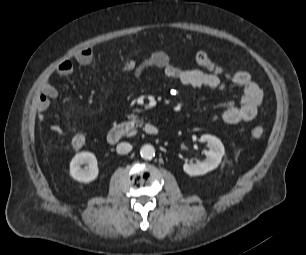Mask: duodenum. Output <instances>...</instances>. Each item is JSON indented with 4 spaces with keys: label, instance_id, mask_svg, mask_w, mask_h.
Returning a JSON list of instances; mask_svg holds the SVG:
<instances>
[{
    "label": "duodenum",
    "instance_id": "duodenum-1",
    "mask_svg": "<svg viewBox=\"0 0 306 255\" xmlns=\"http://www.w3.org/2000/svg\"><path fill=\"white\" fill-rule=\"evenodd\" d=\"M135 132V125L132 122H125L110 128L107 132L106 139L109 144H116L123 138L134 135ZM144 132L149 136H156L159 133V129L154 124H146L144 126Z\"/></svg>",
    "mask_w": 306,
    "mask_h": 255
}]
</instances>
